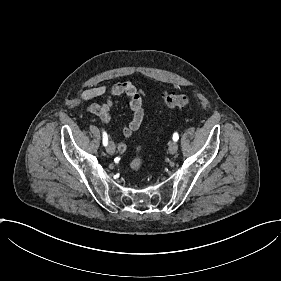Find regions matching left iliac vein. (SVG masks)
<instances>
[{"instance_id":"1","label":"left iliac vein","mask_w":281,"mask_h":281,"mask_svg":"<svg viewBox=\"0 0 281 281\" xmlns=\"http://www.w3.org/2000/svg\"><path fill=\"white\" fill-rule=\"evenodd\" d=\"M169 150L172 154H175L178 150V143L176 141H171L169 143Z\"/></svg>"}]
</instances>
